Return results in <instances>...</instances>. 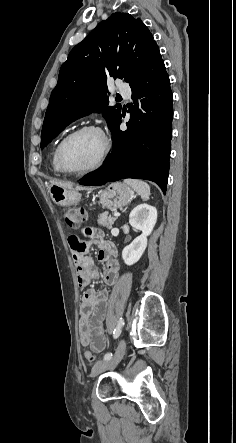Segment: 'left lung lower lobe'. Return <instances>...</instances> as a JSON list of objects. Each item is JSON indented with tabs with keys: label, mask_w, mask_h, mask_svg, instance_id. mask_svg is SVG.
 Segmentation results:
<instances>
[{
	"label": "left lung lower lobe",
	"mask_w": 236,
	"mask_h": 443,
	"mask_svg": "<svg viewBox=\"0 0 236 443\" xmlns=\"http://www.w3.org/2000/svg\"><path fill=\"white\" fill-rule=\"evenodd\" d=\"M130 87L133 106L129 110L127 130H119L120 115L110 129L114 146L105 165L85 175L80 184L97 186L123 178H139L157 183L165 193L170 166L173 97L157 45Z\"/></svg>",
	"instance_id": "1"
}]
</instances>
